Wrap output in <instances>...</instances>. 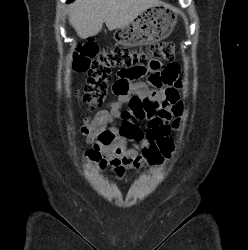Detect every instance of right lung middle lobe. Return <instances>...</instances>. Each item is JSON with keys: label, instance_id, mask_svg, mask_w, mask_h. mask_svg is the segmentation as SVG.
<instances>
[{"label": "right lung middle lobe", "instance_id": "1", "mask_svg": "<svg viewBox=\"0 0 248 250\" xmlns=\"http://www.w3.org/2000/svg\"><path fill=\"white\" fill-rule=\"evenodd\" d=\"M72 1H73V0H68V3H69V2H72Z\"/></svg>", "mask_w": 248, "mask_h": 250}]
</instances>
